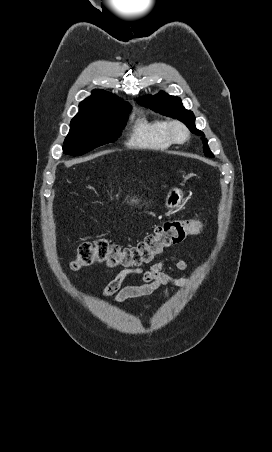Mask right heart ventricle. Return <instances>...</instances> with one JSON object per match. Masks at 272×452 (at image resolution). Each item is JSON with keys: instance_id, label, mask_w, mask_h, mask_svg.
Returning a JSON list of instances; mask_svg holds the SVG:
<instances>
[{"instance_id": "right-heart-ventricle-1", "label": "right heart ventricle", "mask_w": 272, "mask_h": 452, "mask_svg": "<svg viewBox=\"0 0 272 452\" xmlns=\"http://www.w3.org/2000/svg\"><path fill=\"white\" fill-rule=\"evenodd\" d=\"M168 126L169 122L165 119L140 116L131 127L128 145L145 150L167 149L173 144Z\"/></svg>"}]
</instances>
